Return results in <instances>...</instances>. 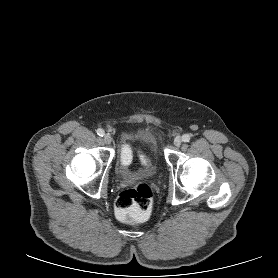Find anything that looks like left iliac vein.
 <instances>
[{"label":"left iliac vein","instance_id":"obj_1","mask_svg":"<svg viewBox=\"0 0 278 278\" xmlns=\"http://www.w3.org/2000/svg\"><path fill=\"white\" fill-rule=\"evenodd\" d=\"M182 143V139L180 136H177L174 141H173V144L176 146V147H179Z\"/></svg>","mask_w":278,"mask_h":278}]
</instances>
